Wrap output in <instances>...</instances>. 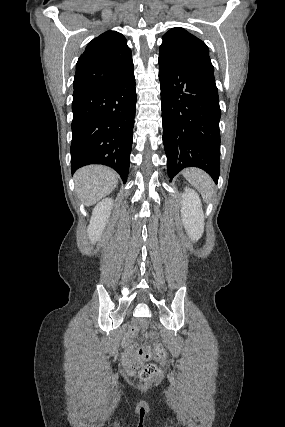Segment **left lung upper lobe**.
<instances>
[{"instance_id":"obj_1","label":"left lung upper lobe","mask_w":285,"mask_h":427,"mask_svg":"<svg viewBox=\"0 0 285 427\" xmlns=\"http://www.w3.org/2000/svg\"><path fill=\"white\" fill-rule=\"evenodd\" d=\"M159 58L180 65L202 67L214 72L206 44L180 27L173 28L162 37Z\"/></svg>"}]
</instances>
